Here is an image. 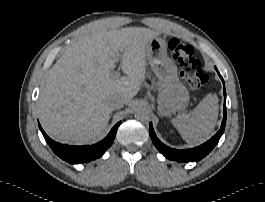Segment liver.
Instances as JSON below:
<instances>
[{
	"label": "liver",
	"mask_w": 265,
	"mask_h": 202,
	"mask_svg": "<svg viewBox=\"0 0 265 202\" xmlns=\"http://www.w3.org/2000/svg\"><path fill=\"white\" fill-rule=\"evenodd\" d=\"M158 32L144 27L93 31L73 42L51 68L38 99L45 132L55 141L87 143L99 137L113 111L114 94L129 102L146 79L147 43ZM119 51L126 76L112 79Z\"/></svg>",
	"instance_id": "6515ba94"
}]
</instances>
